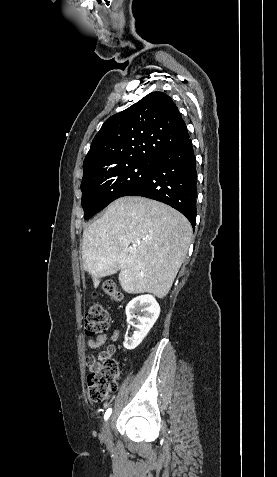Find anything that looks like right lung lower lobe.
<instances>
[{"label": "right lung lower lobe", "instance_id": "1", "mask_svg": "<svg viewBox=\"0 0 277 477\" xmlns=\"http://www.w3.org/2000/svg\"><path fill=\"white\" fill-rule=\"evenodd\" d=\"M147 176L125 196H142L170 205L195 227L197 172L191 139L157 158Z\"/></svg>", "mask_w": 277, "mask_h": 477}]
</instances>
